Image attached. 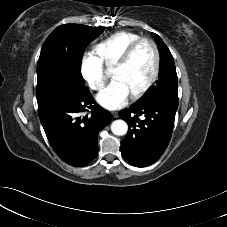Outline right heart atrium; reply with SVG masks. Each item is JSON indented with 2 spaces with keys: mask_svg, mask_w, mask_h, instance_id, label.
I'll return each instance as SVG.
<instances>
[{
  "mask_svg": "<svg viewBox=\"0 0 227 227\" xmlns=\"http://www.w3.org/2000/svg\"><path fill=\"white\" fill-rule=\"evenodd\" d=\"M80 73L88 86L100 90L106 81L103 63L93 52H85L80 60Z\"/></svg>",
  "mask_w": 227,
  "mask_h": 227,
  "instance_id": "right-heart-atrium-1",
  "label": "right heart atrium"
}]
</instances>
